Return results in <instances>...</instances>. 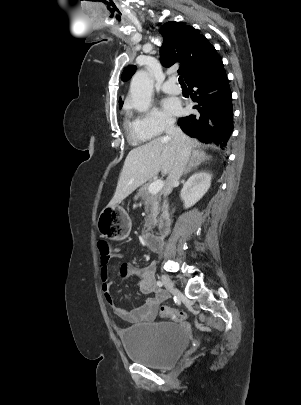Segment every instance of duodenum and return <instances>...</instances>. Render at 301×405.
<instances>
[{
	"instance_id": "duodenum-1",
	"label": "duodenum",
	"mask_w": 301,
	"mask_h": 405,
	"mask_svg": "<svg viewBox=\"0 0 301 405\" xmlns=\"http://www.w3.org/2000/svg\"><path fill=\"white\" fill-rule=\"evenodd\" d=\"M169 227V221L167 218H163L160 222V230L162 233H165ZM144 242L146 246L154 251V252H159L163 249V242L162 238L160 236H157L155 234L147 233L143 236Z\"/></svg>"
}]
</instances>
